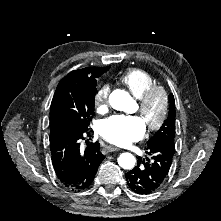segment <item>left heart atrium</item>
Segmentation results:
<instances>
[{"mask_svg":"<svg viewBox=\"0 0 221 221\" xmlns=\"http://www.w3.org/2000/svg\"><path fill=\"white\" fill-rule=\"evenodd\" d=\"M145 130L142 119L132 115H113L99 125L100 135L117 146H126L140 140Z\"/></svg>","mask_w":221,"mask_h":221,"instance_id":"left-heart-atrium-1","label":"left heart atrium"}]
</instances>
